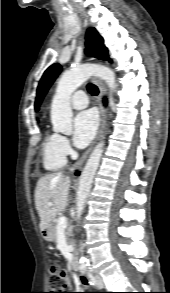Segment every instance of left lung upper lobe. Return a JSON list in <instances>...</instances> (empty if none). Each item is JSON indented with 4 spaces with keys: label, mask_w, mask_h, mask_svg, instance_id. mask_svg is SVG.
Here are the masks:
<instances>
[{
    "label": "left lung upper lobe",
    "mask_w": 170,
    "mask_h": 293,
    "mask_svg": "<svg viewBox=\"0 0 170 293\" xmlns=\"http://www.w3.org/2000/svg\"><path fill=\"white\" fill-rule=\"evenodd\" d=\"M86 53L89 56H94L103 60H109L108 50L103 45V38L98 34L95 28H89L86 34ZM61 71L59 64L51 65L43 74L41 81L37 89V97L35 101V108L38 110V107L48 91L49 87L53 81L57 78L58 74Z\"/></svg>",
    "instance_id": "left-lung-upper-lobe-1"
}]
</instances>
